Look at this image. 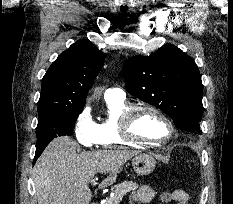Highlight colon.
I'll use <instances>...</instances> for the list:
<instances>
[{
    "instance_id": "obj_1",
    "label": "colon",
    "mask_w": 233,
    "mask_h": 204,
    "mask_svg": "<svg viewBox=\"0 0 233 204\" xmlns=\"http://www.w3.org/2000/svg\"><path fill=\"white\" fill-rule=\"evenodd\" d=\"M176 190H172V191H168V192L164 193L163 198L165 200H170V201L174 200L176 197V193H175Z\"/></svg>"
}]
</instances>
